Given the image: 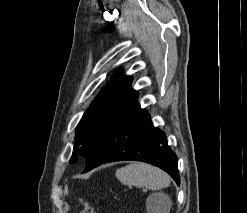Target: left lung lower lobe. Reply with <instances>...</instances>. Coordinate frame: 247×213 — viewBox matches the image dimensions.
Returning a JSON list of instances; mask_svg holds the SVG:
<instances>
[{"instance_id": "left-lung-lower-lobe-1", "label": "left lung lower lobe", "mask_w": 247, "mask_h": 213, "mask_svg": "<svg viewBox=\"0 0 247 213\" xmlns=\"http://www.w3.org/2000/svg\"><path fill=\"white\" fill-rule=\"evenodd\" d=\"M138 160L166 171L180 184L177 157L167 144L163 131L153 126L150 114L137 100L93 144L86 156L83 173L100 164Z\"/></svg>"}]
</instances>
